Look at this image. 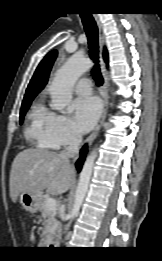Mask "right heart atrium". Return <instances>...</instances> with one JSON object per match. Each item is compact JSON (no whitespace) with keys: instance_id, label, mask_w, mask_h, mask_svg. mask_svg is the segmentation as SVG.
Returning a JSON list of instances; mask_svg holds the SVG:
<instances>
[{"instance_id":"right-heart-atrium-1","label":"right heart atrium","mask_w":162,"mask_h":261,"mask_svg":"<svg viewBox=\"0 0 162 261\" xmlns=\"http://www.w3.org/2000/svg\"><path fill=\"white\" fill-rule=\"evenodd\" d=\"M48 137L54 147L75 145L80 135L69 117L62 114H53L48 126Z\"/></svg>"}]
</instances>
